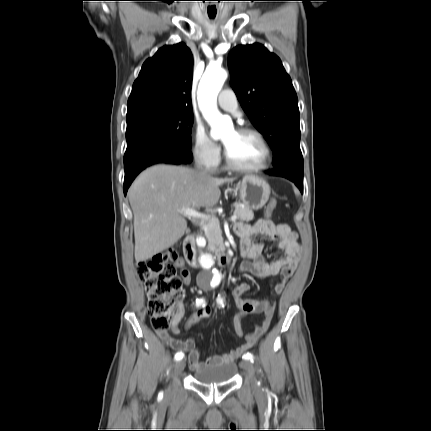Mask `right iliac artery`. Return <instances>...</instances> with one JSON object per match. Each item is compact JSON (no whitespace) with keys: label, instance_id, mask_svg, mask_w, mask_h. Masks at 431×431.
<instances>
[{"label":"right iliac artery","instance_id":"right-iliac-artery-1","mask_svg":"<svg viewBox=\"0 0 431 431\" xmlns=\"http://www.w3.org/2000/svg\"><path fill=\"white\" fill-rule=\"evenodd\" d=\"M204 302V300L203 299H200V300H197L196 301V305L197 306H199V305H201L202 303ZM183 356H184V354L183 353H181V352H177L176 354H175V360H181L182 358H183Z\"/></svg>","mask_w":431,"mask_h":431}]
</instances>
